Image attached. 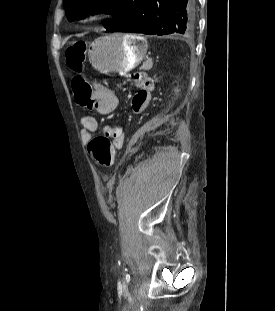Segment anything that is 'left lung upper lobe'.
Wrapping results in <instances>:
<instances>
[{"label":"left lung upper lobe","mask_w":275,"mask_h":311,"mask_svg":"<svg viewBox=\"0 0 275 311\" xmlns=\"http://www.w3.org/2000/svg\"><path fill=\"white\" fill-rule=\"evenodd\" d=\"M142 0H63L69 21L86 17V12L94 14V9H103L106 14H113L105 27L108 31H116L130 20L138 11Z\"/></svg>","instance_id":"obj_1"}]
</instances>
